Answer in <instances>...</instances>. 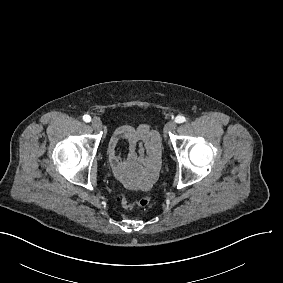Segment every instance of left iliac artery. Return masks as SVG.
<instances>
[{
  "mask_svg": "<svg viewBox=\"0 0 283 283\" xmlns=\"http://www.w3.org/2000/svg\"><path fill=\"white\" fill-rule=\"evenodd\" d=\"M185 121V117L184 116H177L176 118H175V122L176 123H183Z\"/></svg>",
  "mask_w": 283,
  "mask_h": 283,
  "instance_id": "left-iliac-artery-1",
  "label": "left iliac artery"
}]
</instances>
